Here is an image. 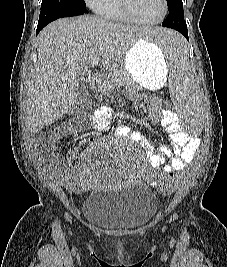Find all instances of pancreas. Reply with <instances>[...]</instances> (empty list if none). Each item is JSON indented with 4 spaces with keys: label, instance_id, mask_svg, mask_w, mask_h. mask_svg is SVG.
Wrapping results in <instances>:
<instances>
[{
    "label": "pancreas",
    "instance_id": "pancreas-1",
    "mask_svg": "<svg viewBox=\"0 0 227 267\" xmlns=\"http://www.w3.org/2000/svg\"><path fill=\"white\" fill-rule=\"evenodd\" d=\"M134 85L133 79L122 69L111 71L105 76L100 86V91L104 95H109L117 85Z\"/></svg>",
    "mask_w": 227,
    "mask_h": 267
}]
</instances>
